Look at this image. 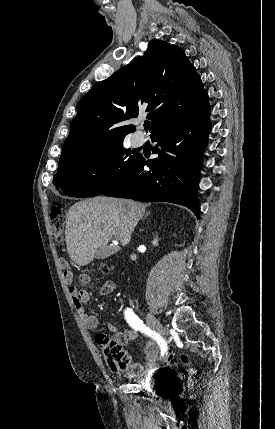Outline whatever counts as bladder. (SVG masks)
<instances>
[{
    "label": "bladder",
    "mask_w": 275,
    "mask_h": 429,
    "mask_svg": "<svg viewBox=\"0 0 275 429\" xmlns=\"http://www.w3.org/2000/svg\"><path fill=\"white\" fill-rule=\"evenodd\" d=\"M143 381H138L141 384ZM146 385L151 387L150 396L151 398H173V389H160V386H168V377H153L148 378Z\"/></svg>",
    "instance_id": "31cf9c89"
}]
</instances>
